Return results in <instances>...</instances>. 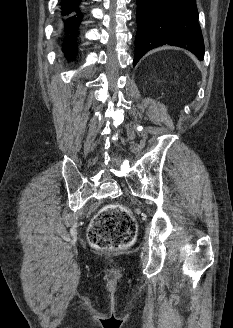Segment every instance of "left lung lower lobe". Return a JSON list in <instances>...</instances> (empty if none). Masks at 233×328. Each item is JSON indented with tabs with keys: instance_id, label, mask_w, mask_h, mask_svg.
Instances as JSON below:
<instances>
[{
	"instance_id": "left-lung-lower-lobe-1",
	"label": "left lung lower lobe",
	"mask_w": 233,
	"mask_h": 328,
	"mask_svg": "<svg viewBox=\"0 0 233 328\" xmlns=\"http://www.w3.org/2000/svg\"><path fill=\"white\" fill-rule=\"evenodd\" d=\"M136 19L134 66L149 50L164 44L188 49L203 60L195 0H137Z\"/></svg>"
}]
</instances>
